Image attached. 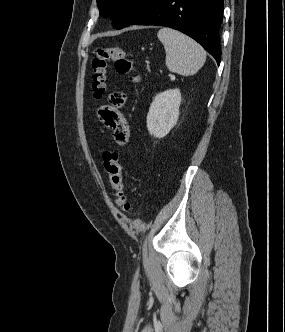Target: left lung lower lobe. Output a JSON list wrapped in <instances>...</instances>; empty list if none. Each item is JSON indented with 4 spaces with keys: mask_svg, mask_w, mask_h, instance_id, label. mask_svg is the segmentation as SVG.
I'll use <instances>...</instances> for the list:
<instances>
[{
    "mask_svg": "<svg viewBox=\"0 0 285 332\" xmlns=\"http://www.w3.org/2000/svg\"><path fill=\"white\" fill-rule=\"evenodd\" d=\"M223 0H156L132 24L166 26L200 43L220 64Z\"/></svg>",
    "mask_w": 285,
    "mask_h": 332,
    "instance_id": "1",
    "label": "left lung lower lobe"
}]
</instances>
